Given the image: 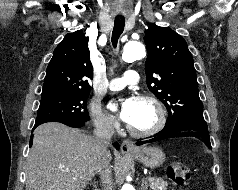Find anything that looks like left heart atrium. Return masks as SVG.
<instances>
[{
  "mask_svg": "<svg viewBox=\"0 0 238 190\" xmlns=\"http://www.w3.org/2000/svg\"><path fill=\"white\" fill-rule=\"evenodd\" d=\"M136 108V99L133 97L126 98L120 102L119 117L126 123H129L133 118Z\"/></svg>",
  "mask_w": 238,
  "mask_h": 190,
  "instance_id": "left-heart-atrium-1",
  "label": "left heart atrium"
}]
</instances>
